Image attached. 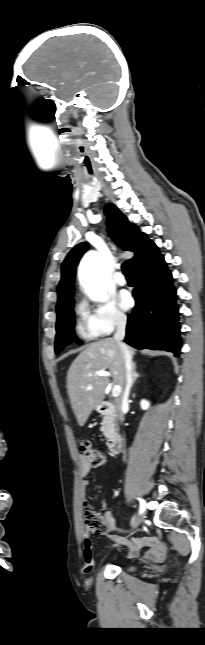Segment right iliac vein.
<instances>
[{
    "mask_svg": "<svg viewBox=\"0 0 205 645\" xmlns=\"http://www.w3.org/2000/svg\"><path fill=\"white\" fill-rule=\"evenodd\" d=\"M143 517H144V516H142V517H140V518H138V519H136V520L134 521L133 526H132V527H133V529L139 526V524H140V523L142 522V520H143Z\"/></svg>",
    "mask_w": 205,
    "mask_h": 645,
    "instance_id": "1",
    "label": "right iliac vein"
}]
</instances>
